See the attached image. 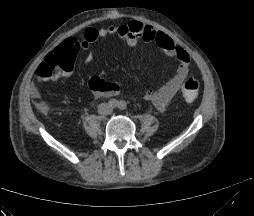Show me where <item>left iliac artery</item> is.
Listing matches in <instances>:
<instances>
[{
  "label": "left iliac artery",
  "instance_id": "left-iliac-artery-1",
  "mask_svg": "<svg viewBox=\"0 0 254 216\" xmlns=\"http://www.w3.org/2000/svg\"><path fill=\"white\" fill-rule=\"evenodd\" d=\"M118 108H119L120 110H125V109H126V103H125V101H120V102L118 103Z\"/></svg>",
  "mask_w": 254,
  "mask_h": 216
}]
</instances>
